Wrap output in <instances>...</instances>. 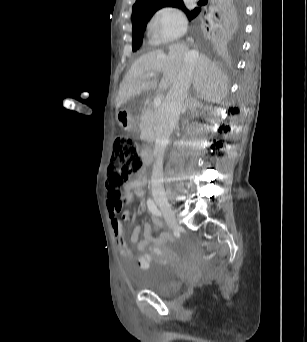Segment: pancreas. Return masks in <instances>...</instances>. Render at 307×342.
Listing matches in <instances>:
<instances>
[{
    "mask_svg": "<svg viewBox=\"0 0 307 342\" xmlns=\"http://www.w3.org/2000/svg\"><path fill=\"white\" fill-rule=\"evenodd\" d=\"M156 112H145L142 114L139 128L141 132H153V122H155ZM150 124V128H147V124Z\"/></svg>",
    "mask_w": 307,
    "mask_h": 342,
    "instance_id": "pancreas-1",
    "label": "pancreas"
}]
</instances>
